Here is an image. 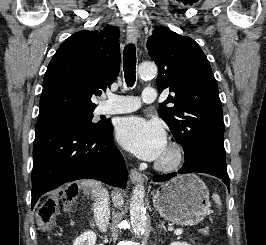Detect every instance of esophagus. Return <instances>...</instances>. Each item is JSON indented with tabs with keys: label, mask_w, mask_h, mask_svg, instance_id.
Returning <instances> with one entry per match:
<instances>
[{
	"label": "esophagus",
	"mask_w": 266,
	"mask_h": 245,
	"mask_svg": "<svg viewBox=\"0 0 266 245\" xmlns=\"http://www.w3.org/2000/svg\"><path fill=\"white\" fill-rule=\"evenodd\" d=\"M127 40L129 42H136L139 37V31L138 28L134 23H131L129 27L127 28ZM130 179L133 183L142 182L143 181V175L138 172L137 170H130Z\"/></svg>",
	"instance_id": "obj_1"
}]
</instances>
